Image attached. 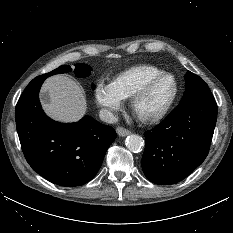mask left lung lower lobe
Wrapping results in <instances>:
<instances>
[{"label":"left lung lower lobe","mask_w":233,"mask_h":233,"mask_svg":"<svg viewBox=\"0 0 233 233\" xmlns=\"http://www.w3.org/2000/svg\"><path fill=\"white\" fill-rule=\"evenodd\" d=\"M217 119L212 94L180 103L159 125L145 132L142 169L155 184H175L203 163Z\"/></svg>","instance_id":"0a47b994"}]
</instances>
